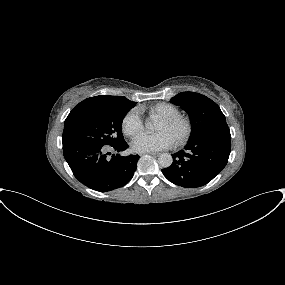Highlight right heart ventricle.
<instances>
[{
  "label": "right heart ventricle",
  "mask_w": 285,
  "mask_h": 285,
  "mask_svg": "<svg viewBox=\"0 0 285 285\" xmlns=\"http://www.w3.org/2000/svg\"><path fill=\"white\" fill-rule=\"evenodd\" d=\"M141 110H146L150 115H154L159 118L180 113L179 109L175 105L166 102L155 103L147 108H141Z\"/></svg>",
  "instance_id": "e07e8e85"
}]
</instances>
